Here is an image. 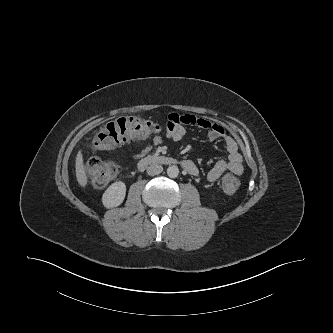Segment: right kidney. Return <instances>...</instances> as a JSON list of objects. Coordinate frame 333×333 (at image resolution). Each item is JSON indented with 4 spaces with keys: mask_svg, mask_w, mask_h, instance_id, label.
<instances>
[{
    "mask_svg": "<svg viewBox=\"0 0 333 333\" xmlns=\"http://www.w3.org/2000/svg\"><path fill=\"white\" fill-rule=\"evenodd\" d=\"M126 194V185L122 181H117L111 184L102 196V203L107 208L119 206Z\"/></svg>",
    "mask_w": 333,
    "mask_h": 333,
    "instance_id": "ca27d5eb",
    "label": "right kidney"
}]
</instances>
